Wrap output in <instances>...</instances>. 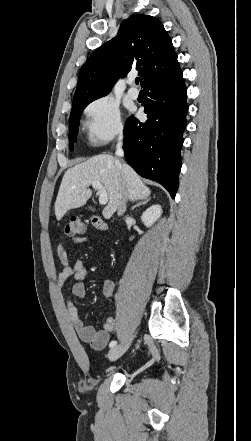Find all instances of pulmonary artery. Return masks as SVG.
<instances>
[{"label":"pulmonary artery","mask_w":251,"mask_h":441,"mask_svg":"<svg viewBox=\"0 0 251 441\" xmlns=\"http://www.w3.org/2000/svg\"><path fill=\"white\" fill-rule=\"evenodd\" d=\"M128 82L131 86L128 90L129 97L132 99H137L139 96V90L136 87H134V79L130 78Z\"/></svg>","instance_id":"obj_1"}]
</instances>
